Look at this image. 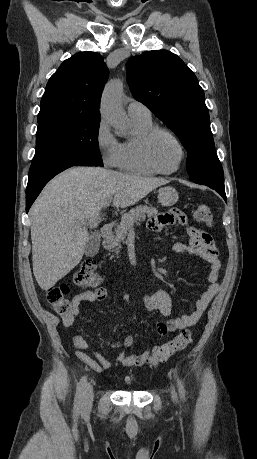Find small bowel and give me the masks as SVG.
<instances>
[{"mask_svg": "<svg viewBox=\"0 0 257 459\" xmlns=\"http://www.w3.org/2000/svg\"><path fill=\"white\" fill-rule=\"evenodd\" d=\"M180 224L186 226L183 229V234L184 236H190V240H188V244L180 241L175 242L172 245V250L179 255L190 254L196 256L207 264V287L196 300L190 314L175 319H169L164 323H157V331L161 335L182 330L196 324L219 290L218 278L220 262L218 259V250L207 234L192 227V223L187 221L184 217V208H173L171 205H166L164 208H161L158 217L148 218V228L151 231L174 229L175 226H180ZM107 295V290L104 287H97L94 290H85L75 295L73 297V302L76 305V309L72 314L62 318L63 326L69 328L74 324L76 317L81 312L80 305L83 302L95 303L97 301H102L107 298ZM142 300L149 311H158L164 317H168L171 313L172 297L166 290H158L152 295L144 294ZM124 301H129V295L127 293L124 294ZM133 342L134 339L132 336H126L122 340L114 341L111 347L114 349L129 348L133 345ZM73 343L75 346V356L86 366L98 373L112 368L115 364H121L126 367L142 366L147 362L150 355V351L129 355L121 351L116 359L112 361L105 358L101 353L92 350L83 336L79 333L74 335Z\"/></svg>", "mask_w": 257, "mask_h": 459, "instance_id": "c3829d8e", "label": "small bowel"}]
</instances>
